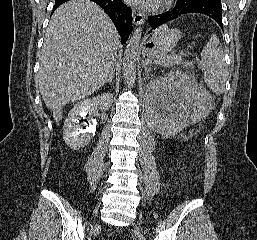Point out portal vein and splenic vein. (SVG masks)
<instances>
[{"label":"portal vein and splenic vein","instance_id":"1","mask_svg":"<svg viewBox=\"0 0 257 240\" xmlns=\"http://www.w3.org/2000/svg\"><path fill=\"white\" fill-rule=\"evenodd\" d=\"M166 60H168V63H169L168 65H172L173 63L180 64L183 58L181 55H174V56L167 57Z\"/></svg>","mask_w":257,"mask_h":240}]
</instances>
